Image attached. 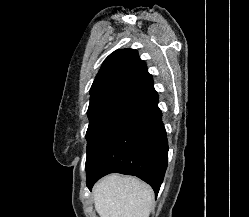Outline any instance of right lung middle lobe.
Instances as JSON below:
<instances>
[{"label":"right lung middle lobe","mask_w":249,"mask_h":217,"mask_svg":"<svg viewBox=\"0 0 249 217\" xmlns=\"http://www.w3.org/2000/svg\"><path fill=\"white\" fill-rule=\"evenodd\" d=\"M121 95L122 93L114 92L103 94L101 96L90 99V104L87 112L90 122L86 133L88 144L90 143L95 128L97 127L105 112Z\"/></svg>","instance_id":"right-lung-middle-lobe-1"}]
</instances>
